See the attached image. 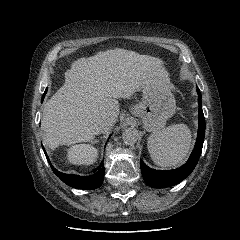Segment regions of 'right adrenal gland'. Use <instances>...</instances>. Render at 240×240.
Returning <instances> with one entry per match:
<instances>
[{
  "label": "right adrenal gland",
  "mask_w": 240,
  "mask_h": 240,
  "mask_svg": "<svg viewBox=\"0 0 240 240\" xmlns=\"http://www.w3.org/2000/svg\"><path fill=\"white\" fill-rule=\"evenodd\" d=\"M92 143H97L98 142V140H93V141H91Z\"/></svg>",
  "instance_id": "1"
}]
</instances>
